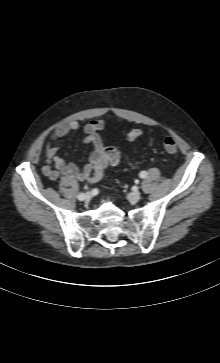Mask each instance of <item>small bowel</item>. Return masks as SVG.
I'll return each mask as SVG.
<instances>
[{
	"label": "small bowel",
	"mask_w": 220,
	"mask_h": 363,
	"mask_svg": "<svg viewBox=\"0 0 220 363\" xmlns=\"http://www.w3.org/2000/svg\"><path fill=\"white\" fill-rule=\"evenodd\" d=\"M104 126V120H93L83 126V131L86 134L84 142L92 144L94 149L89 156L88 163L80 169L76 164L68 163L63 158L57 156L59 148L56 145L58 139L77 130L79 123L77 121H68L58 125L48 137L44 147L43 159L45 165L42 168L43 175L52 181L57 180L60 176L85 181L92 178L93 172L97 168L104 169L106 167L103 161L104 145L102 138L98 134V131Z\"/></svg>",
	"instance_id": "obj_1"
}]
</instances>
